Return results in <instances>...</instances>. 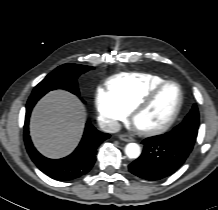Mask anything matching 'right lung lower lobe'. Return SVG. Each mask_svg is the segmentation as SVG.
Segmentation results:
<instances>
[{"mask_svg":"<svg viewBox=\"0 0 218 210\" xmlns=\"http://www.w3.org/2000/svg\"><path fill=\"white\" fill-rule=\"evenodd\" d=\"M43 95L30 96L26 105L24 141L30 158L43 173L55 180L69 181L85 175L95 163L97 146L110 135L98 131L87 122L83 138L73 153L61 159L42 156L32 144L28 125L31 111Z\"/></svg>","mask_w":218,"mask_h":210,"instance_id":"obj_1","label":"right lung lower lobe"}]
</instances>
